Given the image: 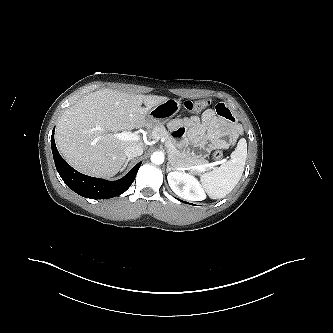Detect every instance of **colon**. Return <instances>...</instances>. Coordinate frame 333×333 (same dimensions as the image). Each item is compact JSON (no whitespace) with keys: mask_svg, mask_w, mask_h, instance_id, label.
<instances>
[{"mask_svg":"<svg viewBox=\"0 0 333 333\" xmlns=\"http://www.w3.org/2000/svg\"><path fill=\"white\" fill-rule=\"evenodd\" d=\"M209 105V101L207 99H196V100H187L184 102L183 107L185 110L190 112H198L203 110ZM224 157V153L222 150H217L213 154V158L216 161H221Z\"/></svg>","mask_w":333,"mask_h":333,"instance_id":"1","label":"colon"}]
</instances>
